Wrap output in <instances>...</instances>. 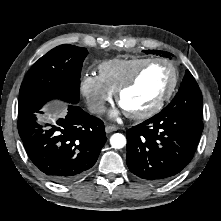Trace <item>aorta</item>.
I'll list each match as a JSON object with an SVG mask.
<instances>
[{"label":"aorta","mask_w":221,"mask_h":221,"mask_svg":"<svg viewBox=\"0 0 221 221\" xmlns=\"http://www.w3.org/2000/svg\"><path fill=\"white\" fill-rule=\"evenodd\" d=\"M110 144L115 149H121L126 145V138L121 133H115L110 138Z\"/></svg>","instance_id":"obj_1"}]
</instances>
